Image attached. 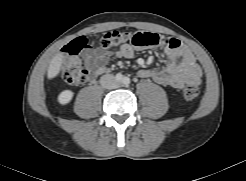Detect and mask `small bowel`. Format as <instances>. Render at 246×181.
<instances>
[{"mask_svg":"<svg viewBox=\"0 0 246 181\" xmlns=\"http://www.w3.org/2000/svg\"><path fill=\"white\" fill-rule=\"evenodd\" d=\"M164 46V52L169 62L162 68L141 69L138 75L142 78L151 79L160 85L176 89L182 88L186 83H200L202 70L191 50L175 38H169V44ZM135 52L136 49L130 44L122 45L115 52L87 46L82 55L90 66L91 76L97 77L109 70L107 64L111 56L132 58Z\"/></svg>","mask_w":246,"mask_h":181,"instance_id":"c3829d8e","label":"small bowel"}]
</instances>
